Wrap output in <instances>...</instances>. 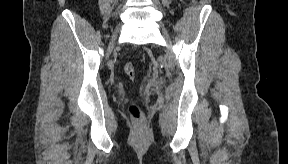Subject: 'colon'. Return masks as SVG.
Returning a JSON list of instances; mask_svg holds the SVG:
<instances>
[{"mask_svg":"<svg viewBox=\"0 0 288 164\" xmlns=\"http://www.w3.org/2000/svg\"><path fill=\"white\" fill-rule=\"evenodd\" d=\"M124 72L130 78L134 79L135 77V67L132 63L128 62L124 65ZM130 114L133 116V120H142L141 110L138 105L131 104L129 107Z\"/></svg>","mask_w":288,"mask_h":164,"instance_id":"5ec220e1","label":"colon"}]
</instances>
